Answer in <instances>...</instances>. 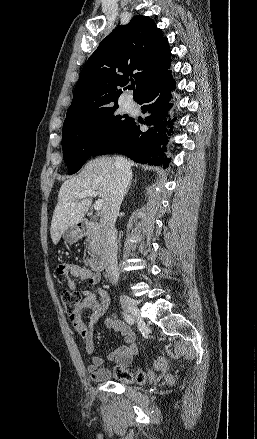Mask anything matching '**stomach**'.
<instances>
[{
  "label": "stomach",
  "instance_id": "stomach-1",
  "mask_svg": "<svg viewBox=\"0 0 257 439\" xmlns=\"http://www.w3.org/2000/svg\"><path fill=\"white\" fill-rule=\"evenodd\" d=\"M80 235H81V233H80V230L78 229V227L73 226V227L68 228L63 233V239L68 243H74V242L79 240Z\"/></svg>",
  "mask_w": 257,
  "mask_h": 439
}]
</instances>
